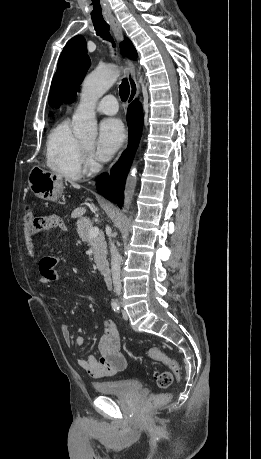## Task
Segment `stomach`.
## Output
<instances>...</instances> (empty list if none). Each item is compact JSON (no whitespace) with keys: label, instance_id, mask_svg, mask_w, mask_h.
<instances>
[{"label":"stomach","instance_id":"obj_1","mask_svg":"<svg viewBox=\"0 0 261 459\" xmlns=\"http://www.w3.org/2000/svg\"><path fill=\"white\" fill-rule=\"evenodd\" d=\"M28 184L35 196L47 201H58L64 190V181L60 175L40 167L31 169Z\"/></svg>","mask_w":261,"mask_h":459}]
</instances>
